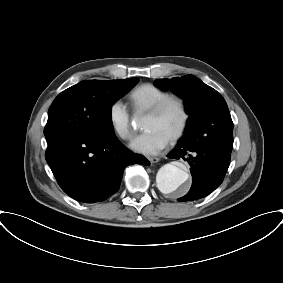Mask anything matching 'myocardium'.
<instances>
[{
    "label": "myocardium",
    "mask_w": 283,
    "mask_h": 283,
    "mask_svg": "<svg viewBox=\"0 0 283 283\" xmlns=\"http://www.w3.org/2000/svg\"><path fill=\"white\" fill-rule=\"evenodd\" d=\"M176 103L181 111V122L176 132L168 139L169 142H175L185 133L190 120V112L186 100L177 94H168L157 102L151 109L148 110L146 116L160 115L170 104Z\"/></svg>",
    "instance_id": "obj_1"
}]
</instances>
